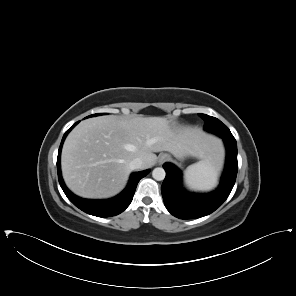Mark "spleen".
Here are the masks:
<instances>
[{
    "instance_id": "obj_1",
    "label": "spleen",
    "mask_w": 296,
    "mask_h": 296,
    "mask_svg": "<svg viewBox=\"0 0 296 296\" xmlns=\"http://www.w3.org/2000/svg\"><path fill=\"white\" fill-rule=\"evenodd\" d=\"M222 164L221 147L207 159L192 164L184 171V181L191 190L206 191L212 189L216 183Z\"/></svg>"
}]
</instances>
